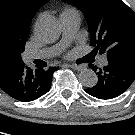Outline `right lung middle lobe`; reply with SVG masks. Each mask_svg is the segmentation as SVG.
<instances>
[{
	"instance_id": "obj_1",
	"label": "right lung middle lobe",
	"mask_w": 135,
	"mask_h": 135,
	"mask_svg": "<svg viewBox=\"0 0 135 135\" xmlns=\"http://www.w3.org/2000/svg\"><path fill=\"white\" fill-rule=\"evenodd\" d=\"M28 36V28L0 19V60L22 62L21 54L25 50Z\"/></svg>"
}]
</instances>
